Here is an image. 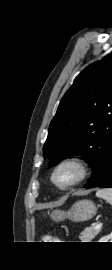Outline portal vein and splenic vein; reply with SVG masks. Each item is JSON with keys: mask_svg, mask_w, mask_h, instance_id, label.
Here are the masks:
<instances>
[{"mask_svg": "<svg viewBox=\"0 0 112 270\" xmlns=\"http://www.w3.org/2000/svg\"><path fill=\"white\" fill-rule=\"evenodd\" d=\"M101 227H102V223L98 222V223L95 224L94 229H99Z\"/></svg>", "mask_w": 112, "mask_h": 270, "instance_id": "obj_1", "label": "portal vein and splenic vein"}]
</instances>
